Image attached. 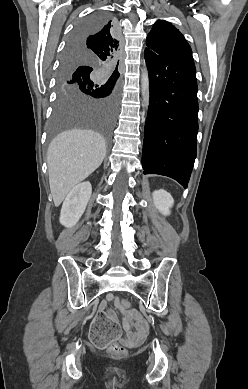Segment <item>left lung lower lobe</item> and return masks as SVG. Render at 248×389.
<instances>
[{
    "label": "left lung lower lobe",
    "instance_id": "left-lung-lower-lobe-1",
    "mask_svg": "<svg viewBox=\"0 0 248 389\" xmlns=\"http://www.w3.org/2000/svg\"><path fill=\"white\" fill-rule=\"evenodd\" d=\"M150 102L145 123L142 166L185 188L196 158L198 100L192 53L159 55L145 49Z\"/></svg>",
    "mask_w": 248,
    "mask_h": 389
}]
</instances>
